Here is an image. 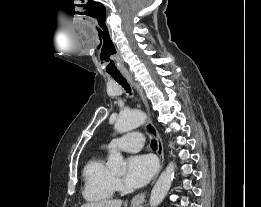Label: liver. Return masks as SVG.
<instances>
[{
	"mask_svg": "<svg viewBox=\"0 0 261 207\" xmlns=\"http://www.w3.org/2000/svg\"><path fill=\"white\" fill-rule=\"evenodd\" d=\"M122 200L114 199V200H102L98 202H91L83 204L81 207H121Z\"/></svg>",
	"mask_w": 261,
	"mask_h": 207,
	"instance_id": "obj_1",
	"label": "liver"
}]
</instances>
